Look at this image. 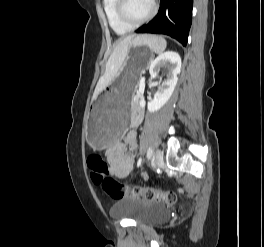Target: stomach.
<instances>
[{
	"instance_id": "1",
	"label": "stomach",
	"mask_w": 264,
	"mask_h": 247,
	"mask_svg": "<svg viewBox=\"0 0 264 247\" xmlns=\"http://www.w3.org/2000/svg\"><path fill=\"white\" fill-rule=\"evenodd\" d=\"M144 36L133 40L131 53L124 57L123 69L106 93L94 101L86 124V139L95 150H102L118 141L125 135L130 123L131 99L139 75L149 68V58H152L151 48L144 44Z\"/></svg>"
}]
</instances>
